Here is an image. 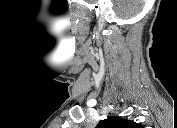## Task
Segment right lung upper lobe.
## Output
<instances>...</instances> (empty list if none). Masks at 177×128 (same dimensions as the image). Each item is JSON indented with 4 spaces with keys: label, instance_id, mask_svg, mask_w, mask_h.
<instances>
[{
    "label": "right lung upper lobe",
    "instance_id": "cb5924a9",
    "mask_svg": "<svg viewBox=\"0 0 177 128\" xmlns=\"http://www.w3.org/2000/svg\"><path fill=\"white\" fill-rule=\"evenodd\" d=\"M100 128H140L141 125L134 121L122 119L116 116H109L107 119L99 122Z\"/></svg>",
    "mask_w": 177,
    "mask_h": 128
}]
</instances>
